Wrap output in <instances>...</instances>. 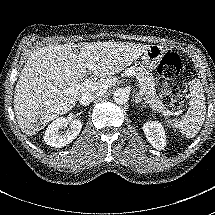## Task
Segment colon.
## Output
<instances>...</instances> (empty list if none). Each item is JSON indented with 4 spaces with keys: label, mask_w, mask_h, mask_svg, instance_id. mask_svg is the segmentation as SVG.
Listing matches in <instances>:
<instances>
[{
    "label": "colon",
    "mask_w": 215,
    "mask_h": 215,
    "mask_svg": "<svg viewBox=\"0 0 215 215\" xmlns=\"http://www.w3.org/2000/svg\"><path fill=\"white\" fill-rule=\"evenodd\" d=\"M181 66L180 56L177 53L168 52L163 56L158 67L160 99L173 109H180L185 105L184 95L170 83L177 78Z\"/></svg>",
    "instance_id": "1"
}]
</instances>
